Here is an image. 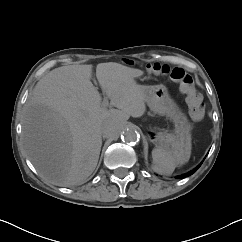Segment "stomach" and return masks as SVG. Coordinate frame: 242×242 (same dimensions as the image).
<instances>
[{
	"mask_svg": "<svg viewBox=\"0 0 242 242\" xmlns=\"http://www.w3.org/2000/svg\"><path fill=\"white\" fill-rule=\"evenodd\" d=\"M144 93L150 110L169 117L174 123L176 132L175 135L156 132L149 137L150 141L159 149L179 153L180 159L187 161L191 150V126L187 116L170 97L165 85L145 86Z\"/></svg>",
	"mask_w": 242,
	"mask_h": 242,
	"instance_id": "0dacf381",
	"label": "stomach"
}]
</instances>
